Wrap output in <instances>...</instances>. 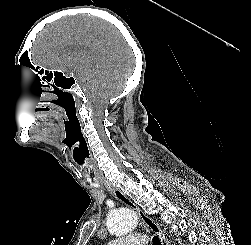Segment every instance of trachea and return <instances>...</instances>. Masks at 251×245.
Listing matches in <instances>:
<instances>
[{
  "label": "trachea",
  "instance_id": "1",
  "mask_svg": "<svg viewBox=\"0 0 251 245\" xmlns=\"http://www.w3.org/2000/svg\"><path fill=\"white\" fill-rule=\"evenodd\" d=\"M152 241H153V245H161V242L158 236H154Z\"/></svg>",
  "mask_w": 251,
  "mask_h": 245
}]
</instances>
